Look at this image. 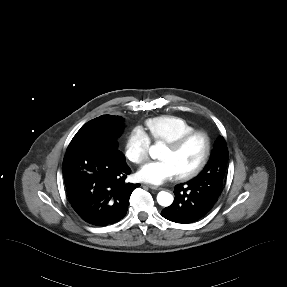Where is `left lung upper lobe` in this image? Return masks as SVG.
Wrapping results in <instances>:
<instances>
[{
  "label": "left lung upper lobe",
  "instance_id": "5c2ea615",
  "mask_svg": "<svg viewBox=\"0 0 287 287\" xmlns=\"http://www.w3.org/2000/svg\"><path fill=\"white\" fill-rule=\"evenodd\" d=\"M228 149L223 137H219L214 145L210 160L203 171L194 179L190 180L197 183L203 189L215 183L222 188L223 180L227 168Z\"/></svg>",
  "mask_w": 287,
  "mask_h": 287
}]
</instances>
